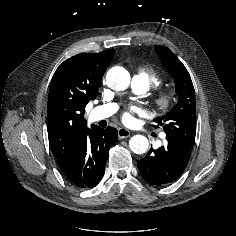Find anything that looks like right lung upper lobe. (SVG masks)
<instances>
[{
    "label": "right lung upper lobe",
    "mask_w": 236,
    "mask_h": 236,
    "mask_svg": "<svg viewBox=\"0 0 236 236\" xmlns=\"http://www.w3.org/2000/svg\"><path fill=\"white\" fill-rule=\"evenodd\" d=\"M114 49L86 53L64 61L55 71L48 96L47 129L60 166L72 156L87 129L85 106L94 100Z\"/></svg>",
    "instance_id": "right-lung-upper-lobe-1"
}]
</instances>
